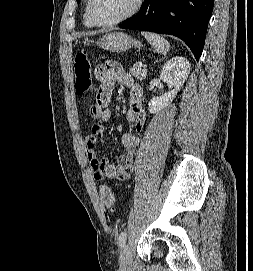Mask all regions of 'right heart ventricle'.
<instances>
[{"label": "right heart ventricle", "instance_id": "e07e8e85", "mask_svg": "<svg viewBox=\"0 0 253 271\" xmlns=\"http://www.w3.org/2000/svg\"><path fill=\"white\" fill-rule=\"evenodd\" d=\"M83 21H84V25L87 27V28H93L95 25L92 23L90 17H89V14H88V0L85 4V7H84V12H83Z\"/></svg>", "mask_w": 253, "mask_h": 271}]
</instances>
